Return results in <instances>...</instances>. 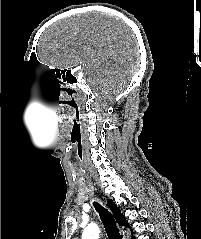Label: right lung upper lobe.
<instances>
[{
    "label": "right lung upper lobe",
    "instance_id": "1",
    "mask_svg": "<svg viewBox=\"0 0 201 239\" xmlns=\"http://www.w3.org/2000/svg\"><path fill=\"white\" fill-rule=\"evenodd\" d=\"M107 204H108V207L110 208V210L112 211L116 221L120 225H123V226L128 227V228L131 229V227L127 223L125 217L123 216V214L120 213V209L115 205V203L111 199H108ZM131 231H132V229H131ZM132 233H133V231H132ZM131 239H133V236H132Z\"/></svg>",
    "mask_w": 201,
    "mask_h": 239
}]
</instances>
